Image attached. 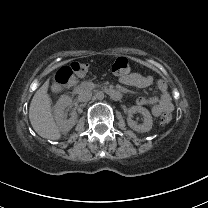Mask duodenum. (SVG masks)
<instances>
[{
    "mask_svg": "<svg viewBox=\"0 0 208 208\" xmlns=\"http://www.w3.org/2000/svg\"><path fill=\"white\" fill-rule=\"evenodd\" d=\"M91 88V85L90 84H87V83H82V84H79L78 86H76L74 88V92L76 94H79V93H82L88 89ZM106 93L111 97L113 98L114 100H120L121 97H122V94L120 91L116 90V89H113V88H107L106 90Z\"/></svg>",
    "mask_w": 208,
    "mask_h": 208,
    "instance_id": "410a0bca",
    "label": "duodenum"
}]
</instances>
